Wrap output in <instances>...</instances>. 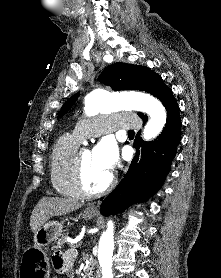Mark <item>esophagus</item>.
Returning <instances> with one entry per match:
<instances>
[{"label": "esophagus", "instance_id": "esophagus-1", "mask_svg": "<svg viewBox=\"0 0 221 278\" xmlns=\"http://www.w3.org/2000/svg\"><path fill=\"white\" fill-rule=\"evenodd\" d=\"M91 209L97 210L96 206H91Z\"/></svg>", "mask_w": 221, "mask_h": 278}]
</instances>
